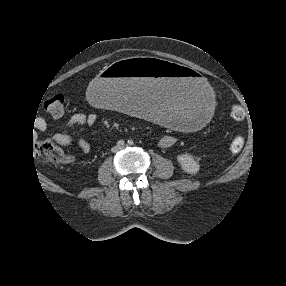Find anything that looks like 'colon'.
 Segmentation results:
<instances>
[{"label":"colon","instance_id":"obj_1","mask_svg":"<svg viewBox=\"0 0 286 286\" xmlns=\"http://www.w3.org/2000/svg\"><path fill=\"white\" fill-rule=\"evenodd\" d=\"M65 98L57 94L49 98L44 106L53 116H60L64 111ZM230 116L235 121H241L245 118V111L239 105H233L230 109ZM244 146V139L240 136L234 137L229 145L232 153H239ZM36 152L39 157L49 162H60L64 159V153L61 148L52 140H41L36 145Z\"/></svg>","mask_w":286,"mask_h":286}]
</instances>
